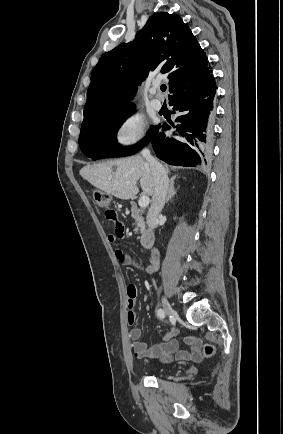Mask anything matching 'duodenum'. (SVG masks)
Wrapping results in <instances>:
<instances>
[{
  "instance_id": "obj_1",
  "label": "duodenum",
  "mask_w": 283,
  "mask_h": 434,
  "mask_svg": "<svg viewBox=\"0 0 283 434\" xmlns=\"http://www.w3.org/2000/svg\"><path fill=\"white\" fill-rule=\"evenodd\" d=\"M130 210H131V213L134 217H136L139 220H143V215L140 212L136 203H134V202L130 203ZM154 239H155V236H154L153 231H151L150 229H147V228L144 229L142 236H141L142 245L145 248L150 249L153 247ZM153 254H157V253L154 252Z\"/></svg>"
}]
</instances>
